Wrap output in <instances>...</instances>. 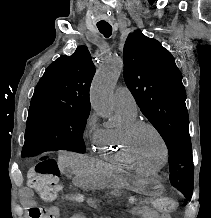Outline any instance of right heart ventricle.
Instances as JSON below:
<instances>
[{
  "label": "right heart ventricle",
  "mask_w": 211,
  "mask_h": 218,
  "mask_svg": "<svg viewBox=\"0 0 211 218\" xmlns=\"http://www.w3.org/2000/svg\"><path fill=\"white\" fill-rule=\"evenodd\" d=\"M120 125L117 128H106L96 141L97 149H93V154H99L105 158L106 162L112 165H122L123 169H135V164H131L130 157L124 146V131L126 127L137 120V113L116 108Z\"/></svg>",
  "instance_id": "e07e8e85"
}]
</instances>
